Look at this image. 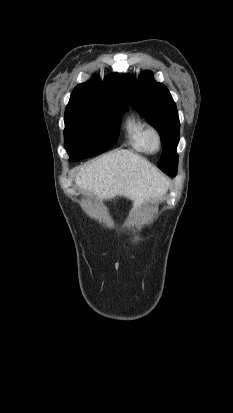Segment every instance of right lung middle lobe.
I'll return each mask as SVG.
<instances>
[{
    "label": "right lung middle lobe",
    "mask_w": 233,
    "mask_h": 413,
    "mask_svg": "<svg viewBox=\"0 0 233 413\" xmlns=\"http://www.w3.org/2000/svg\"><path fill=\"white\" fill-rule=\"evenodd\" d=\"M121 102L70 98L65 110L64 146L70 161L102 153L118 138Z\"/></svg>",
    "instance_id": "obj_1"
}]
</instances>
